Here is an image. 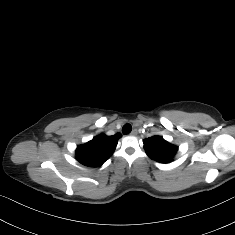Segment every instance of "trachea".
Returning <instances> with one entry per match:
<instances>
[{
  "mask_svg": "<svg viewBox=\"0 0 235 235\" xmlns=\"http://www.w3.org/2000/svg\"><path fill=\"white\" fill-rule=\"evenodd\" d=\"M131 131H132V126L130 124H125L122 127V133L125 134V135L129 134Z\"/></svg>",
  "mask_w": 235,
  "mask_h": 235,
  "instance_id": "obj_1",
  "label": "trachea"
}]
</instances>
